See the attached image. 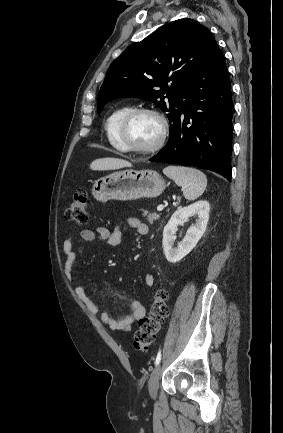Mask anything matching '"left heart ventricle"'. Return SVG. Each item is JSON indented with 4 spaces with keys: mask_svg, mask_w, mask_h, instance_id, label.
<instances>
[{
    "mask_svg": "<svg viewBox=\"0 0 283 433\" xmlns=\"http://www.w3.org/2000/svg\"><path fill=\"white\" fill-rule=\"evenodd\" d=\"M160 120L152 114H141L131 122L126 137L136 147L152 148L161 136Z\"/></svg>",
    "mask_w": 283,
    "mask_h": 433,
    "instance_id": "obj_1",
    "label": "left heart ventricle"
}]
</instances>
